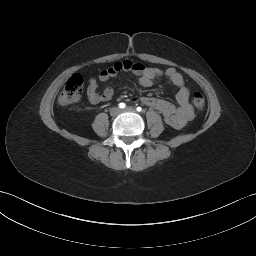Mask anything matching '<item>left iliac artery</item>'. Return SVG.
<instances>
[{"label":"left iliac artery","instance_id":"left-iliac-artery-1","mask_svg":"<svg viewBox=\"0 0 256 256\" xmlns=\"http://www.w3.org/2000/svg\"><path fill=\"white\" fill-rule=\"evenodd\" d=\"M136 110H137L138 112H141V111H142V108H141V107H137Z\"/></svg>","mask_w":256,"mask_h":256}]
</instances>
